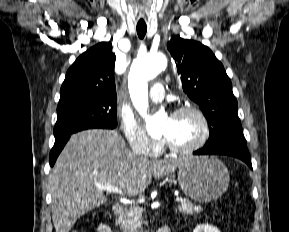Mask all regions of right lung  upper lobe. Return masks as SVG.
<instances>
[{"label": "right lung upper lobe", "instance_id": "obj_1", "mask_svg": "<svg viewBox=\"0 0 289 232\" xmlns=\"http://www.w3.org/2000/svg\"><path fill=\"white\" fill-rule=\"evenodd\" d=\"M115 59L109 42H101L84 52L67 71L60 90L59 104L79 98L117 101Z\"/></svg>", "mask_w": 289, "mask_h": 232}]
</instances>
